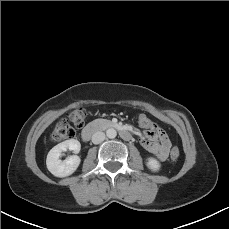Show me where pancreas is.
<instances>
[{"label": "pancreas", "instance_id": "obj_1", "mask_svg": "<svg viewBox=\"0 0 229 229\" xmlns=\"http://www.w3.org/2000/svg\"><path fill=\"white\" fill-rule=\"evenodd\" d=\"M94 124H96L100 127H105V126H109L111 124V121L106 120V119H96V120H94Z\"/></svg>", "mask_w": 229, "mask_h": 229}]
</instances>
